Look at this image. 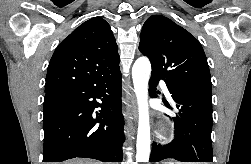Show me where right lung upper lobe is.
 I'll list each match as a JSON object with an SVG mask.
<instances>
[{
	"mask_svg": "<svg viewBox=\"0 0 251 164\" xmlns=\"http://www.w3.org/2000/svg\"><path fill=\"white\" fill-rule=\"evenodd\" d=\"M116 40L100 17L77 27L56 48L46 77L45 92L109 74L119 68Z\"/></svg>",
	"mask_w": 251,
	"mask_h": 164,
	"instance_id": "obj_1",
	"label": "right lung upper lobe"
}]
</instances>
